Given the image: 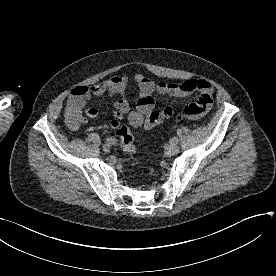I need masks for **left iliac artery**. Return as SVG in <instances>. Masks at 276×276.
<instances>
[{
	"label": "left iliac artery",
	"mask_w": 276,
	"mask_h": 276,
	"mask_svg": "<svg viewBox=\"0 0 276 276\" xmlns=\"http://www.w3.org/2000/svg\"><path fill=\"white\" fill-rule=\"evenodd\" d=\"M179 143V139L177 137H173L170 139V144H178Z\"/></svg>",
	"instance_id": "left-iliac-artery-1"
}]
</instances>
